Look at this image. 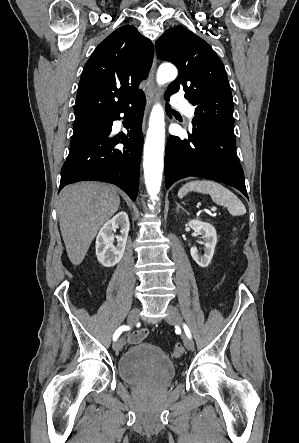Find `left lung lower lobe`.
Listing matches in <instances>:
<instances>
[{
    "label": "left lung lower lobe",
    "mask_w": 299,
    "mask_h": 443,
    "mask_svg": "<svg viewBox=\"0 0 299 443\" xmlns=\"http://www.w3.org/2000/svg\"><path fill=\"white\" fill-rule=\"evenodd\" d=\"M165 99L168 101L169 96L165 95ZM188 176L223 182L248 197L234 134L222 128L196 124L187 139L169 137L165 150L166 188Z\"/></svg>",
    "instance_id": "left-lung-lower-lobe-1"
}]
</instances>
